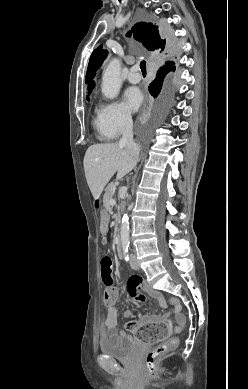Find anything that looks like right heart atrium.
Returning <instances> with one entry per match:
<instances>
[{"mask_svg": "<svg viewBox=\"0 0 248 389\" xmlns=\"http://www.w3.org/2000/svg\"><path fill=\"white\" fill-rule=\"evenodd\" d=\"M101 109L106 126L114 137L119 136L131 127V115L121 103L116 101L106 103Z\"/></svg>", "mask_w": 248, "mask_h": 389, "instance_id": "1", "label": "right heart atrium"}]
</instances>
